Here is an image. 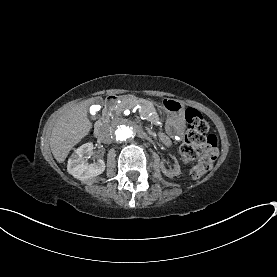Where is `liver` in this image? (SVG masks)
<instances>
[{
  "label": "liver",
  "instance_id": "obj_1",
  "mask_svg": "<svg viewBox=\"0 0 277 277\" xmlns=\"http://www.w3.org/2000/svg\"><path fill=\"white\" fill-rule=\"evenodd\" d=\"M95 98L86 99L73 106L56 121L50 136V150L58 163H64L72 148L91 131L87 117L88 107Z\"/></svg>",
  "mask_w": 277,
  "mask_h": 277
}]
</instances>
